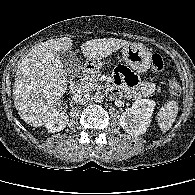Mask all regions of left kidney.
I'll return each mask as SVG.
<instances>
[{
	"label": "left kidney",
	"mask_w": 195,
	"mask_h": 195,
	"mask_svg": "<svg viewBox=\"0 0 195 195\" xmlns=\"http://www.w3.org/2000/svg\"><path fill=\"white\" fill-rule=\"evenodd\" d=\"M155 106L156 103L150 99L136 100L120 116L121 127L132 136L144 134L151 123Z\"/></svg>",
	"instance_id": "1"
}]
</instances>
